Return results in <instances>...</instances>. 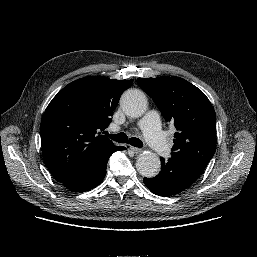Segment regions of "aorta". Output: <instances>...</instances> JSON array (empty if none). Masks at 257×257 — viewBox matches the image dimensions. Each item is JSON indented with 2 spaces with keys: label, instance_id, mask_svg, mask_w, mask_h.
Returning <instances> with one entry per match:
<instances>
[{
  "label": "aorta",
  "instance_id": "obj_1",
  "mask_svg": "<svg viewBox=\"0 0 257 257\" xmlns=\"http://www.w3.org/2000/svg\"><path fill=\"white\" fill-rule=\"evenodd\" d=\"M121 108L124 113L130 117H141L148 105L147 98L140 90L132 89L126 91L121 97ZM160 159L152 152H144L137 158L136 168L140 175L152 178L155 177L160 170Z\"/></svg>",
  "mask_w": 257,
  "mask_h": 257
}]
</instances>
